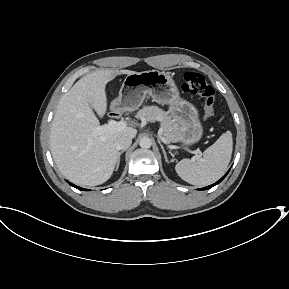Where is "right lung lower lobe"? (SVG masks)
Here are the masks:
<instances>
[{
	"label": "right lung lower lobe",
	"instance_id": "98d812e1",
	"mask_svg": "<svg viewBox=\"0 0 289 289\" xmlns=\"http://www.w3.org/2000/svg\"><path fill=\"white\" fill-rule=\"evenodd\" d=\"M69 184H70L71 186H73V187L79 189V190H87V189H84V188H80V187H78V186H76V185H74V184H72V183H69Z\"/></svg>",
	"mask_w": 289,
	"mask_h": 289
}]
</instances>
